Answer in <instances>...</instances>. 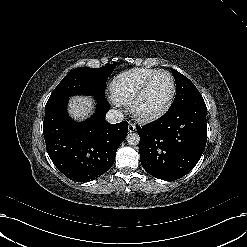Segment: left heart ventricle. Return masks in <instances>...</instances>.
I'll list each match as a JSON object with an SVG mask.
<instances>
[{"mask_svg": "<svg viewBox=\"0 0 247 247\" xmlns=\"http://www.w3.org/2000/svg\"><path fill=\"white\" fill-rule=\"evenodd\" d=\"M171 92L170 78L161 74L148 85L140 98L137 108L140 112L146 113L161 107L168 99Z\"/></svg>", "mask_w": 247, "mask_h": 247, "instance_id": "b2bd125f", "label": "left heart ventricle"}]
</instances>
